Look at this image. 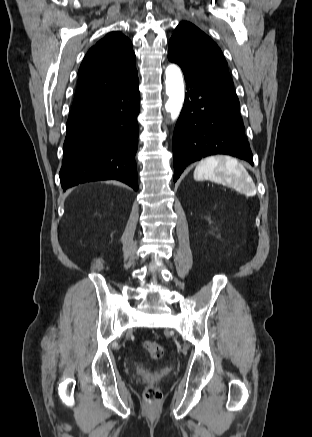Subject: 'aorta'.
<instances>
[{"label": "aorta", "mask_w": 312, "mask_h": 437, "mask_svg": "<svg viewBox=\"0 0 312 437\" xmlns=\"http://www.w3.org/2000/svg\"><path fill=\"white\" fill-rule=\"evenodd\" d=\"M166 94L168 100L165 104V109L171 115V119L175 120L182 109L184 101V84L181 70L178 66L171 64L166 68Z\"/></svg>", "instance_id": "aorta-1"}]
</instances>
